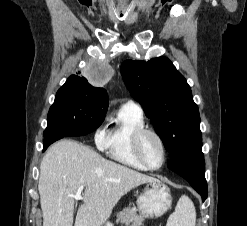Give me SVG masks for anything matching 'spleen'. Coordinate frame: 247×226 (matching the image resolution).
I'll list each match as a JSON object with an SVG mask.
<instances>
[{"label": "spleen", "instance_id": "1", "mask_svg": "<svg viewBox=\"0 0 247 226\" xmlns=\"http://www.w3.org/2000/svg\"><path fill=\"white\" fill-rule=\"evenodd\" d=\"M196 211L191 199L185 195L181 196L174 213L170 215L167 226H195Z\"/></svg>", "mask_w": 247, "mask_h": 226}]
</instances>
